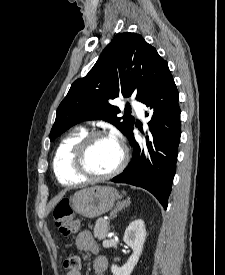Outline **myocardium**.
<instances>
[{"mask_svg": "<svg viewBox=\"0 0 225 275\" xmlns=\"http://www.w3.org/2000/svg\"><path fill=\"white\" fill-rule=\"evenodd\" d=\"M100 138L110 137L101 131H92L86 133L74 147L72 154V168L74 172L84 180L102 181L111 179L121 173L127 165L129 157L128 150L122 142L117 140L121 149V158L115 169L102 175L92 173L86 166V155L92 143Z\"/></svg>", "mask_w": 225, "mask_h": 275, "instance_id": "1", "label": "myocardium"}]
</instances>
